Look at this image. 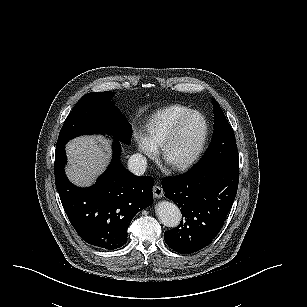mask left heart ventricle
I'll return each mask as SVG.
<instances>
[{
  "label": "left heart ventricle",
  "mask_w": 307,
  "mask_h": 307,
  "mask_svg": "<svg viewBox=\"0 0 307 307\" xmlns=\"http://www.w3.org/2000/svg\"><path fill=\"white\" fill-rule=\"evenodd\" d=\"M197 116L191 114L186 123L180 126L175 133V141L170 143L165 157L172 160L183 161L190 158L200 140V128Z\"/></svg>",
  "instance_id": "1"
}]
</instances>
